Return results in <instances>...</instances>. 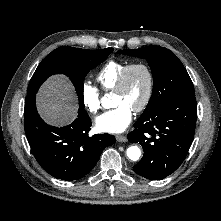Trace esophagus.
Segmentation results:
<instances>
[{
    "mask_svg": "<svg viewBox=\"0 0 221 221\" xmlns=\"http://www.w3.org/2000/svg\"><path fill=\"white\" fill-rule=\"evenodd\" d=\"M116 140H117L118 142L123 143V142H126V141H127V137H126L125 135L119 134V135H116Z\"/></svg>",
    "mask_w": 221,
    "mask_h": 221,
    "instance_id": "esophagus-1",
    "label": "esophagus"
}]
</instances>
